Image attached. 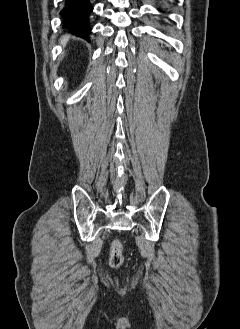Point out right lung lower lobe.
<instances>
[{
  "label": "right lung lower lobe",
  "mask_w": 240,
  "mask_h": 329,
  "mask_svg": "<svg viewBox=\"0 0 240 329\" xmlns=\"http://www.w3.org/2000/svg\"><path fill=\"white\" fill-rule=\"evenodd\" d=\"M93 6L89 0H66L60 12L63 18V28L73 31L78 36L89 40V15Z\"/></svg>",
  "instance_id": "98d812e1"
}]
</instances>
